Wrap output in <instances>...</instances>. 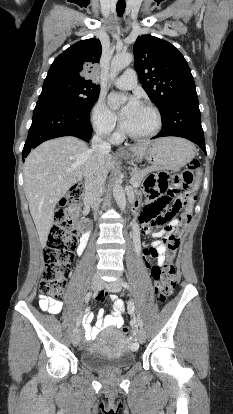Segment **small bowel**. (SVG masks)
I'll list each match as a JSON object with an SVG mask.
<instances>
[{"label":"small bowel","mask_w":233,"mask_h":414,"mask_svg":"<svg viewBox=\"0 0 233 414\" xmlns=\"http://www.w3.org/2000/svg\"><path fill=\"white\" fill-rule=\"evenodd\" d=\"M149 204L152 202V199L149 194L145 192ZM144 208L143 212L140 216V222H141V231L144 235H147L151 232L150 223L153 224H163L166 223L165 227L154 233L155 237H162L166 233H169L172 229L178 226V220H171V217L167 215H161L160 219L161 221L158 223L156 218L152 217L147 208L149 206ZM89 239L88 233H83L81 236L80 244L78 247V253L82 254L86 248L87 241ZM157 258V266H154L156 268H160V266L165 262V255L163 253V244L160 242L155 243L152 247L144 249L143 250V260L144 264L147 268L152 270L153 267H150L149 260L151 258ZM152 275V274H151ZM152 277L155 279V277L152 275ZM98 300H104L105 294L103 292H100L97 296ZM110 300L112 302V313L110 315H106L104 310H99L97 314V322L95 326L91 325V322L93 320V314L89 310H86V312L82 316L83 321V329L85 333V339L87 341L93 340L96 335L104 328L107 327H115L120 328L124 324L123 320V313L125 311V304L124 302L118 298L115 295L110 296ZM39 306L43 311H46L51 314H59L62 310V303L58 300L52 299L45 295L39 296ZM128 311L130 314L134 313V306L132 302L128 303Z\"/></svg>","instance_id":"obj_1"}]
</instances>
